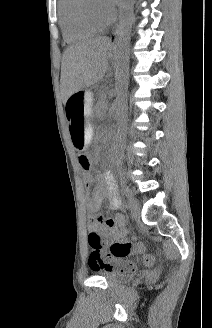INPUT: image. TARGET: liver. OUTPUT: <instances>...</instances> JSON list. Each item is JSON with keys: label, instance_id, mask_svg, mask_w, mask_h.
<instances>
[{"label": "liver", "instance_id": "liver-1", "mask_svg": "<svg viewBox=\"0 0 212 328\" xmlns=\"http://www.w3.org/2000/svg\"><path fill=\"white\" fill-rule=\"evenodd\" d=\"M111 41L98 37L66 49L62 58L61 93L64 102L75 92L103 79L108 68Z\"/></svg>", "mask_w": 212, "mask_h": 328}]
</instances>
